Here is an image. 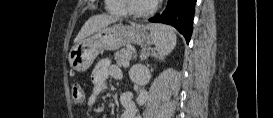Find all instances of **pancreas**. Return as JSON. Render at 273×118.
I'll use <instances>...</instances> for the list:
<instances>
[{"label": "pancreas", "instance_id": "pancreas-1", "mask_svg": "<svg viewBox=\"0 0 273 118\" xmlns=\"http://www.w3.org/2000/svg\"><path fill=\"white\" fill-rule=\"evenodd\" d=\"M114 58L118 66L127 68L129 66V61L132 58L130 49H121L114 54Z\"/></svg>", "mask_w": 273, "mask_h": 118}]
</instances>
